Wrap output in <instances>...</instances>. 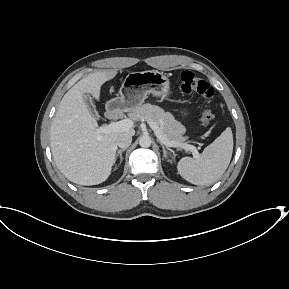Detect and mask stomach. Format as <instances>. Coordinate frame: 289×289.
Listing matches in <instances>:
<instances>
[{"label":"stomach","mask_w":289,"mask_h":289,"mask_svg":"<svg viewBox=\"0 0 289 289\" xmlns=\"http://www.w3.org/2000/svg\"><path fill=\"white\" fill-rule=\"evenodd\" d=\"M149 94L161 100L167 99L170 95L168 77L157 70L131 72L122 83L118 96L107 105L119 111H133Z\"/></svg>","instance_id":"stomach-1"}]
</instances>
